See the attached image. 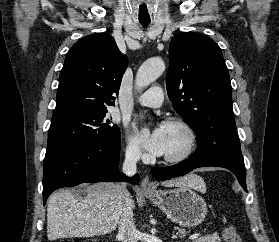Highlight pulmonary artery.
I'll use <instances>...</instances> for the list:
<instances>
[{
	"label": "pulmonary artery",
	"mask_w": 279,
	"mask_h": 242,
	"mask_svg": "<svg viewBox=\"0 0 279 242\" xmlns=\"http://www.w3.org/2000/svg\"><path fill=\"white\" fill-rule=\"evenodd\" d=\"M163 102V92L160 87H153L141 95L138 103L145 107H159Z\"/></svg>",
	"instance_id": "pulmonary-artery-1"
}]
</instances>
